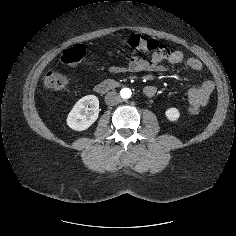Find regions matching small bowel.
I'll use <instances>...</instances> for the list:
<instances>
[{"mask_svg": "<svg viewBox=\"0 0 236 236\" xmlns=\"http://www.w3.org/2000/svg\"><path fill=\"white\" fill-rule=\"evenodd\" d=\"M167 61L172 65L184 63L187 68L193 72L199 73L202 71V63L193 57L185 58L184 54L178 50L166 48L165 52L159 55H152L150 59L145 57L135 56L129 59L124 65H113L107 69V73L116 74L123 72H164L165 67L162 61ZM214 90V83L210 79L203 80L198 86L192 87L188 91V100L190 107L201 108L205 106ZM144 94L147 97H153L156 94V87L147 85L144 88Z\"/></svg>", "mask_w": 236, "mask_h": 236, "instance_id": "obj_1", "label": "small bowel"}]
</instances>
